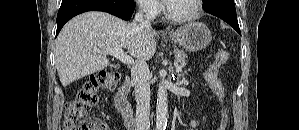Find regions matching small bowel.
Listing matches in <instances>:
<instances>
[{
	"instance_id": "obj_1",
	"label": "small bowel",
	"mask_w": 299,
	"mask_h": 130,
	"mask_svg": "<svg viewBox=\"0 0 299 130\" xmlns=\"http://www.w3.org/2000/svg\"><path fill=\"white\" fill-rule=\"evenodd\" d=\"M222 102H223V100H222V98L219 96V103L222 104ZM202 121H203V119H201V120H192V121L189 123L187 130H196V127L199 126L200 123H201ZM104 127H105L107 130H109V128H108L106 125H104Z\"/></svg>"
}]
</instances>
